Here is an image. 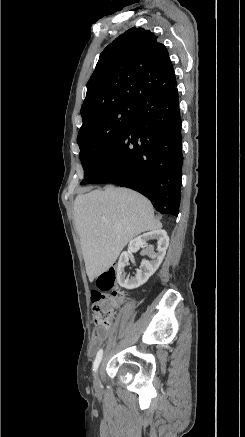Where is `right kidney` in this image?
I'll list each match as a JSON object with an SVG mask.
<instances>
[{
  "mask_svg": "<svg viewBox=\"0 0 245 437\" xmlns=\"http://www.w3.org/2000/svg\"><path fill=\"white\" fill-rule=\"evenodd\" d=\"M152 239L157 240V253L154 252L153 247L146 248L145 254L151 258V261L145 259L142 260L141 266L136 270L134 276L126 277L124 274V269L128 265L129 256L132 253L137 252L140 247H145L147 245V241ZM168 245L169 237L166 231L162 229L144 233L130 241L128 251L123 252L118 260L117 281L119 285L131 290L146 283L162 263Z\"/></svg>",
  "mask_w": 245,
  "mask_h": 437,
  "instance_id": "1",
  "label": "right kidney"
}]
</instances>
